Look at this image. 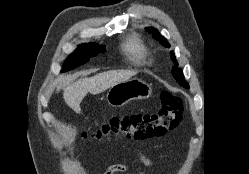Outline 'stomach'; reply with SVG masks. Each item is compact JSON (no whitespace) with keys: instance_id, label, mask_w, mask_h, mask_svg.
<instances>
[{"instance_id":"1","label":"stomach","mask_w":249,"mask_h":174,"mask_svg":"<svg viewBox=\"0 0 249 174\" xmlns=\"http://www.w3.org/2000/svg\"><path fill=\"white\" fill-rule=\"evenodd\" d=\"M152 89L145 81L134 78L110 87L106 99L111 106L121 107L134 99L150 97Z\"/></svg>"}]
</instances>
